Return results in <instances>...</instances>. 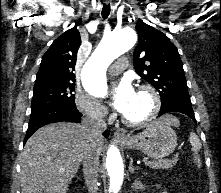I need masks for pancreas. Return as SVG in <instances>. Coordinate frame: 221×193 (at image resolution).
<instances>
[{"mask_svg": "<svg viewBox=\"0 0 221 193\" xmlns=\"http://www.w3.org/2000/svg\"><path fill=\"white\" fill-rule=\"evenodd\" d=\"M176 162H177L176 158L172 160L165 159V160L153 161L150 167L153 169H168L173 167L176 164Z\"/></svg>", "mask_w": 221, "mask_h": 193, "instance_id": "pancreas-1", "label": "pancreas"}]
</instances>
